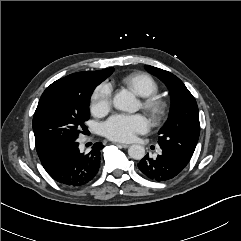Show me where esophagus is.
Wrapping results in <instances>:
<instances>
[{
    "label": "esophagus",
    "instance_id": "1",
    "mask_svg": "<svg viewBox=\"0 0 241 241\" xmlns=\"http://www.w3.org/2000/svg\"><path fill=\"white\" fill-rule=\"evenodd\" d=\"M117 145L123 147V148H128L129 144H125V143H116Z\"/></svg>",
    "mask_w": 241,
    "mask_h": 241
}]
</instances>
